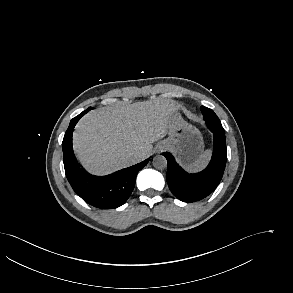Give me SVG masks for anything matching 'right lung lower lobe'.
I'll return each instance as SVG.
<instances>
[{"label": "right lung lower lobe", "mask_w": 293, "mask_h": 293, "mask_svg": "<svg viewBox=\"0 0 293 293\" xmlns=\"http://www.w3.org/2000/svg\"><path fill=\"white\" fill-rule=\"evenodd\" d=\"M92 108H88L70 121L64 135L62 149L66 177L75 193L88 204L101 209H113L123 205L132 193L137 173L149 159L107 176H94L80 168L72 147V133L79 119Z\"/></svg>", "instance_id": "obj_1"}]
</instances>
